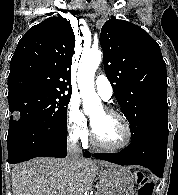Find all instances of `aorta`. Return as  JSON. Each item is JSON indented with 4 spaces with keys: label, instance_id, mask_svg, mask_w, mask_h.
<instances>
[{
    "label": "aorta",
    "instance_id": "obj_1",
    "mask_svg": "<svg viewBox=\"0 0 178 195\" xmlns=\"http://www.w3.org/2000/svg\"><path fill=\"white\" fill-rule=\"evenodd\" d=\"M102 53L100 50H90L85 52L80 60L77 82L83 99V110L90 113L93 107H99L101 101L95 92L94 76L101 62Z\"/></svg>",
    "mask_w": 178,
    "mask_h": 195
}]
</instances>
